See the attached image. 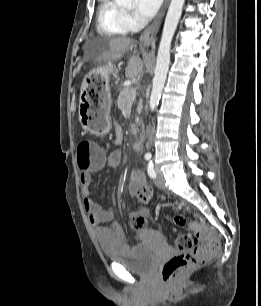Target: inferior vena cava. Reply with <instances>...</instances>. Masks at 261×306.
<instances>
[{
	"label": "inferior vena cava",
	"mask_w": 261,
	"mask_h": 306,
	"mask_svg": "<svg viewBox=\"0 0 261 306\" xmlns=\"http://www.w3.org/2000/svg\"><path fill=\"white\" fill-rule=\"evenodd\" d=\"M147 132H148L147 147L151 148V146H152V139H153V133H152V127H151L150 124L148 126Z\"/></svg>",
	"instance_id": "1"
}]
</instances>
